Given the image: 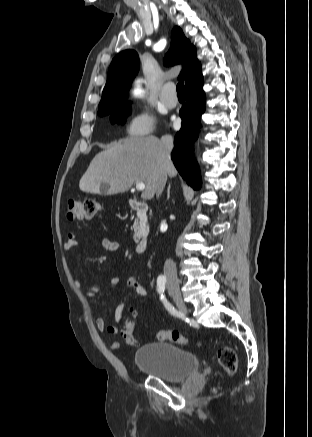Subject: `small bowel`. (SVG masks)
Listing matches in <instances>:
<instances>
[{"instance_id":"small-bowel-1","label":"small bowel","mask_w":312,"mask_h":437,"mask_svg":"<svg viewBox=\"0 0 312 437\" xmlns=\"http://www.w3.org/2000/svg\"><path fill=\"white\" fill-rule=\"evenodd\" d=\"M102 247L111 252H116L121 249V244L117 241L111 240L109 238H103L101 241ZM78 246V240L75 233H69L66 242L64 243L65 251H71ZM119 282L118 278L111 279V287H115ZM126 284L128 288L134 291L140 297H146L148 295V291L145 287L134 277H129L126 280ZM76 286L86 295V296H94L102 290H105L104 287L93 285V286H82L78 281H76ZM126 310V304L120 303L114 311V321L116 323L120 322L124 316ZM96 327L101 332H107L109 334H117L118 327L115 324H107L102 317H98L95 321ZM110 347L113 349H119L121 347L120 342L113 341L110 343Z\"/></svg>"}]
</instances>
